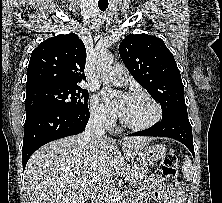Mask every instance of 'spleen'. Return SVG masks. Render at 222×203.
<instances>
[{"mask_svg": "<svg viewBox=\"0 0 222 203\" xmlns=\"http://www.w3.org/2000/svg\"><path fill=\"white\" fill-rule=\"evenodd\" d=\"M182 172L185 179H187L188 181L192 180L194 170H193L191 160L189 159L188 156H185V161L182 166Z\"/></svg>", "mask_w": 222, "mask_h": 203, "instance_id": "1", "label": "spleen"}]
</instances>
